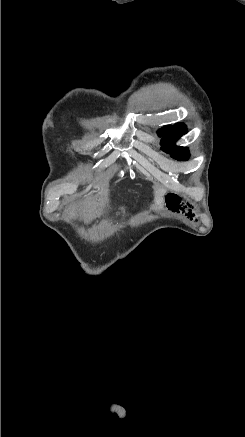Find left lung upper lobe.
<instances>
[{
    "instance_id": "left-lung-upper-lobe-1",
    "label": "left lung upper lobe",
    "mask_w": 245,
    "mask_h": 437,
    "mask_svg": "<svg viewBox=\"0 0 245 437\" xmlns=\"http://www.w3.org/2000/svg\"><path fill=\"white\" fill-rule=\"evenodd\" d=\"M185 133H187V128L182 123L163 127L158 131L159 137H163L161 140V149L167 153H170L171 157L177 160H188V148L175 145V142Z\"/></svg>"
}]
</instances>
